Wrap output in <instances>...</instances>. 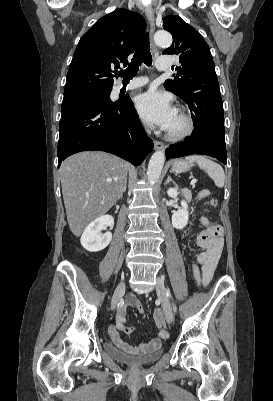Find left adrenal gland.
<instances>
[{"label":"left adrenal gland","mask_w":273,"mask_h":401,"mask_svg":"<svg viewBox=\"0 0 273 401\" xmlns=\"http://www.w3.org/2000/svg\"><path fill=\"white\" fill-rule=\"evenodd\" d=\"M170 180H171V182H173V184H175V186H177L175 180H173V178H171V176H167V180H165L164 184H168V182H170Z\"/></svg>","instance_id":"obj_1"}]
</instances>
